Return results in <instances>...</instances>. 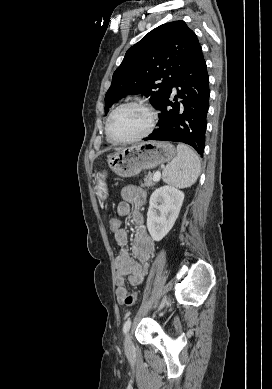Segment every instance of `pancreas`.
Returning <instances> with one entry per match:
<instances>
[{
	"instance_id": "cf45deb5",
	"label": "pancreas",
	"mask_w": 272,
	"mask_h": 389,
	"mask_svg": "<svg viewBox=\"0 0 272 389\" xmlns=\"http://www.w3.org/2000/svg\"><path fill=\"white\" fill-rule=\"evenodd\" d=\"M152 185H153V174L151 172H149L147 174V179L144 183V186L147 188H150Z\"/></svg>"
}]
</instances>
